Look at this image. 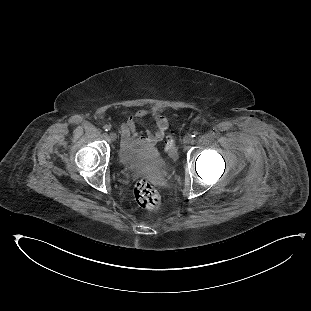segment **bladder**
Listing matches in <instances>:
<instances>
[{"label": "bladder", "instance_id": "bladder-1", "mask_svg": "<svg viewBox=\"0 0 311 311\" xmlns=\"http://www.w3.org/2000/svg\"><path fill=\"white\" fill-rule=\"evenodd\" d=\"M126 164H130L131 161L129 158H125ZM133 163L137 165V168L146 171V172H153L154 168L162 169L167 166L165 162L164 156L160 152H153L148 156L141 157L139 159L133 160Z\"/></svg>", "mask_w": 311, "mask_h": 311}]
</instances>
